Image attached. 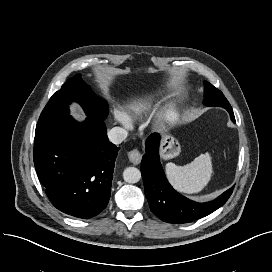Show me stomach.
<instances>
[{
    "label": "stomach",
    "mask_w": 272,
    "mask_h": 272,
    "mask_svg": "<svg viewBox=\"0 0 272 272\" xmlns=\"http://www.w3.org/2000/svg\"><path fill=\"white\" fill-rule=\"evenodd\" d=\"M181 152V146L178 140L168 133L162 134L160 153L163 159L168 160L178 156Z\"/></svg>",
    "instance_id": "0dacf381"
}]
</instances>
